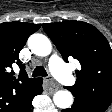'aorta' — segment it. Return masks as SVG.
<instances>
[{"label":"aorta","instance_id":"1","mask_svg":"<svg viewBox=\"0 0 112 112\" xmlns=\"http://www.w3.org/2000/svg\"><path fill=\"white\" fill-rule=\"evenodd\" d=\"M28 46L38 56H48L52 50L50 40L45 35L39 33L29 37ZM53 101L58 108L66 109L71 107L73 96L68 90H59L54 94Z\"/></svg>","mask_w":112,"mask_h":112}]
</instances>
